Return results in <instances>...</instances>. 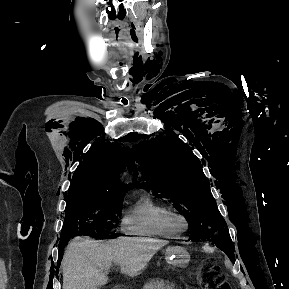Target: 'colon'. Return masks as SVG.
Returning <instances> with one entry per match:
<instances>
[{
	"instance_id": "obj_1",
	"label": "colon",
	"mask_w": 289,
	"mask_h": 289,
	"mask_svg": "<svg viewBox=\"0 0 289 289\" xmlns=\"http://www.w3.org/2000/svg\"><path fill=\"white\" fill-rule=\"evenodd\" d=\"M200 281L205 289H231L229 283L220 278L219 273L213 266H206L201 270Z\"/></svg>"
}]
</instances>
